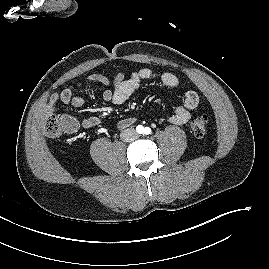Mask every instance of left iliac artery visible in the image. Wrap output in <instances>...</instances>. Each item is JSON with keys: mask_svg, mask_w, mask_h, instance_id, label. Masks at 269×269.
Instances as JSON below:
<instances>
[{"mask_svg": "<svg viewBox=\"0 0 269 269\" xmlns=\"http://www.w3.org/2000/svg\"><path fill=\"white\" fill-rule=\"evenodd\" d=\"M150 133H151V128L146 127V128L144 129V134L148 135V134H150Z\"/></svg>", "mask_w": 269, "mask_h": 269, "instance_id": "obj_1", "label": "left iliac artery"}]
</instances>
